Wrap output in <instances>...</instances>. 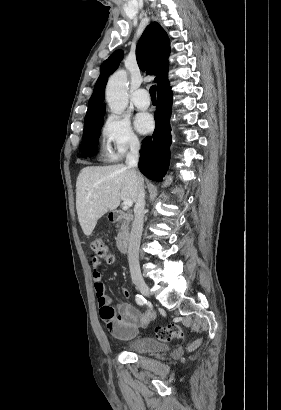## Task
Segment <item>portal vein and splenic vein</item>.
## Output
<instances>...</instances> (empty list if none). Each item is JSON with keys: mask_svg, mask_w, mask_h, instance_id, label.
<instances>
[{"mask_svg": "<svg viewBox=\"0 0 281 410\" xmlns=\"http://www.w3.org/2000/svg\"><path fill=\"white\" fill-rule=\"evenodd\" d=\"M123 204H124L123 208L128 209L132 206L133 202H132V200L126 199V200L123 201Z\"/></svg>", "mask_w": 281, "mask_h": 410, "instance_id": "18ae733b", "label": "portal vein and splenic vein"}]
</instances>
